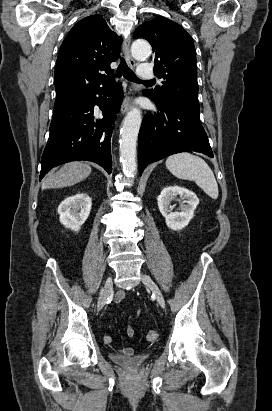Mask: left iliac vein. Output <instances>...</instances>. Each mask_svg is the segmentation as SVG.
<instances>
[{"label":"left iliac vein","mask_w":272,"mask_h":411,"mask_svg":"<svg viewBox=\"0 0 272 411\" xmlns=\"http://www.w3.org/2000/svg\"><path fill=\"white\" fill-rule=\"evenodd\" d=\"M142 282H143L144 285H146L147 287L150 288V290L154 294V296H155L157 302L159 303V305L162 308H165L164 297H163L160 289L158 288V286L155 284V282L150 277H148L146 275H142Z\"/></svg>","instance_id":"4c4485c4"}]
</instances>
